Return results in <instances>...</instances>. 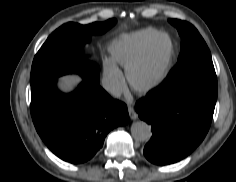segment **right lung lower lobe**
I'll use <instances>...</instances> for the list:
<instances>
[{"instance_id": "1", "label": "right lung lower lobe", "mask_w": 236, "mask_h": 182, "mask_svg": "<svg viewBox=\"0 0 236 182\" xmlns=\"http://www.w3.org/2000/svg\"><path fill=\"white\" fill-rule=\"evenodd\" d=\"M31 115L47 147L74 164L91 159L108 132L129 121L126 105L99 84L84 80L76 91L64 94L57 90L56 78L31 85Z\"/></svg>"}]
</instances>
